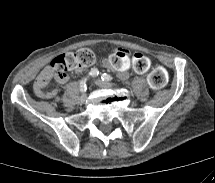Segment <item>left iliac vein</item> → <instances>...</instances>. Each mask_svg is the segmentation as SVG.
I'll list each match as a JSON object with an SVG mask.
<instances>
[{"instance_id":"left-iliac-vein-1","label":"left iliac vein","mask_w":215,"mask_h":183,"mask_svg":"<svg viewBox=\"0 0 215 183\" xmlns=\"http://www.w3.org/2000/svg\"><path fill=\"white\" fill-rule=\"evenodd\" d=\"M95 83H96V85H98L99 87H102V88H113L114 87V85L112 83H109V82H106V81H103L100 79L95 80Z\"/></svg>"}]
</instances>
